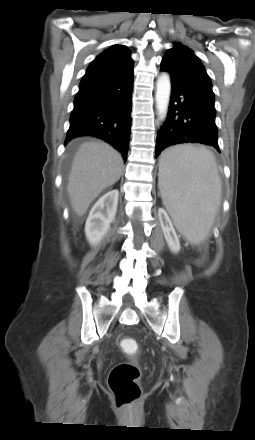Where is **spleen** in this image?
I'll return each mask as SVG.
<instances>
[{
    "mask_svg": "<svg viewBox=\"0 0 255 440\" xmlns=\"http://www.w3.org/2000/svg\"><path fill=\"white\" fill-rule=\"evenodd\" d=\"M159 187L178 231L192 243L204 241L221 201V179L213 153L189 145L165 151L159 167Z\"/></svg>",
    "mask_w": 255,
    "mask_h": 440,
    "instance_id": "obj_1",
    "label": "spleen"
}]
</instances>
